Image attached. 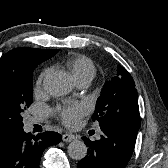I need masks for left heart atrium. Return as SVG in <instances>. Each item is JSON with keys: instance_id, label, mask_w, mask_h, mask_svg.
Listing matches in <instances>:
<instances>
[{"instance_id": "left-heart-atrium-1", "label": "left heart atrium", "mask_w": 168, "mask_h": 168, "mask_svg": "<svg viewBox=\"0 0 168 168\" xmlns=\"http://www.w3.org/2000/svg\"><path fill=\"white\" fill-rule=\"evenodd\" d=\"M57 116L68 127L78 125L79 119L86 113L85 106L80 103L71 104L56 109Z\"/></svg>"}]
</instances>
